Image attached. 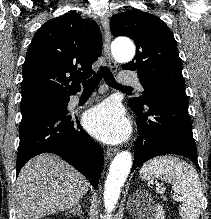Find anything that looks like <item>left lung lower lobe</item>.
I'll return each mask as SVG.
<instances>
[{
  "label": "left lung lower lobe",
  "instance_id": "obj_1",
  "mask_svg": "<svg viewBox=\"0 0 211 219\" xmlns=\"http://www.w3.org/2000/svg\"><path fill=\"white\" fill-rule=\"evenodd\" d=\"M146 108H133L139 137L134 143L131 172L147 160L165 154L182 155L199 169L185 91L165 89L146 94Z\"/></svg>",
  "mask_w": 211,
  "mask_h": 219
}]
</instances>
